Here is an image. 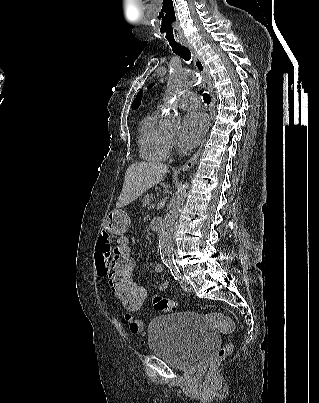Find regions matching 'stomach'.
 <instances>
[{"mask_svg":"<svg viewBox=\"0 0 319 403\" xmlns=\"http://www.w3.org/2000/svg\"><path fill=\"white\" fill-rule=\"evenodd\" d=\"M131 223L129 215L121 209L113 210L106 216L104 228L113 235L123 234Z\"/></svg>","mask_w":319,"mask_h":403,"instance_id":"obj_1","label":"stomach"}]
</instances>
